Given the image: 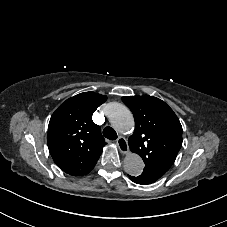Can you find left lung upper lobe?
Masks as SVG:
<instances>
[{
  "mask_svg": "<svg viewBox=\"0 0 227 227\" xmlns=\"http://www.w3.org/2000/svg\"><path fill=\"white\" fill-rule=\"evenodd\" d=\"M132 111L135 130L128 139L130 150L142 157V174L161 178L173 165L182 146V126L173 110L153 96L122 97Z\"/></svg>",
  "mask_w": 227,
  "mask_h": 227,
  "instance_id": "1",
  "label": "left lung upper lobe"
}]
</instances>
